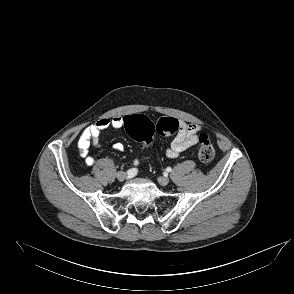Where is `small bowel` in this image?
I'll use <instances>...</instances> for the list:
<instances>
[{
	"mask_svg": "<svg viewBox=\"0 0 294 294\" xmlns=\"http://www.w3.org/2000/svg\"><path fill=\"white\" fill-rule=\"evenodd\" d=\"M179 127L177 133L170 145L166 150V156L169 158H176L182 152L192 147L198 142L197 133L199 132V126L191 123H186L183 121L178 122ZM124 126V117L115 116L111 118H102L98 121L92 123L87 128L83 130L78 140V150L85 159V162L88 166L94 164V157L89 155V148L94 146L99 148V137L103 130L105 129H120ZM113 148L118 151L124 150V145L122 143L113 144Z\"/></svg>",
	"mask_w": 294,
	"mask_h": 294,
	"instance_id": "1",
	"label": "small bowel"
}]
</instances>
